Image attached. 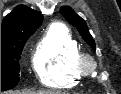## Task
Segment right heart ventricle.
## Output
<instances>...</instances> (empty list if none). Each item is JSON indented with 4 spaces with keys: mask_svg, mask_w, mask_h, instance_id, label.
Masks as SVG:
<instances>
[{
    "mask_svg": "<svg viewBox=\"0 0 121 94\" xmlns=\"http://www.w3.org/2000/svg\"><path fill=\"white\" fill-rule=\"evenodd\" d=\"M80 53V46L68 28L60 23L53 24L35 47L32 57L34 72L47 87H72L80 78L76 67Z\"/></svg>",
    "mask_w": 121,
    "mask_h": 94,
    "instance_id": "1",
    "label": "right heart ventricle"
}]
</instances>
